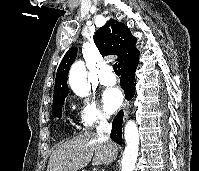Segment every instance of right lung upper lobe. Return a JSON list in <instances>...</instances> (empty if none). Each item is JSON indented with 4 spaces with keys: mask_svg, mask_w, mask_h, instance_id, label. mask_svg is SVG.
<instances>
[{
    "mask_svg": "<svg viewBox=\"0 0 199 171\" xmlns=\"http://www.w3.org/2000/svg\"><path fill=\"white\" fill-rule=\"evenodd\" d=\"M93 38L102 55L118 56V67L139 57V51L135 46L137 39L131 35L130 29L124 23L117 20H109L96 31ZM76 55L77 48H70L58 67L53 102L65 99L68 95L67 76Z\"/></svg>",
    "mask_w": 199,
    "mask_h": 171,
    "instance_id": "obj_1",
    "label": "right lung upper lobe"
}]
</instances>
